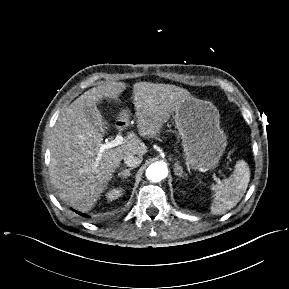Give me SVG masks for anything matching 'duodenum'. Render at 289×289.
Returning a JSON list of instances; mask_svg holds the SVG:
<instances>
[{"label":"duodenum","mask_w":289,"mask_h":289,"mask_svg":"<svg viewBox=\"0 0 289 289\" xmlns=\"http://www.w3.org/2000/svg\"><path fill=\"white\" fill-rule=\"evenodd\" d=\"M124 127V123L123 122H118V128H122Z\"/></svg>","instance_id":"410a0bca"}]
</instances>
